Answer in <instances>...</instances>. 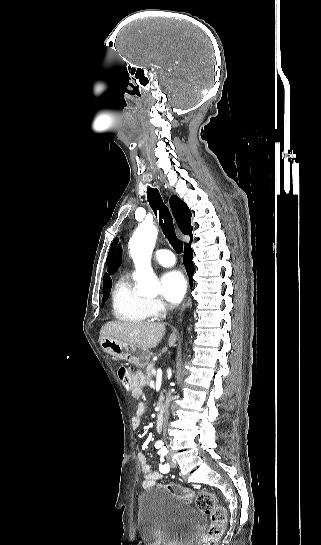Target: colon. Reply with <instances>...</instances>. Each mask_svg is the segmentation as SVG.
Masks as SVG:
<instances>
[{
	"mask_svg": "<svg viewBox=\"0 0 321 545\" xmlns=\"http://www.w3.org/2000/svg\"><path fill=\"white\" fill-rule=\"evenodd\" d=\"M117 373L124 387L131 389L133 381L129 369L120 366ZM165 489L183 500L191 501L194 499L197 508L207 514L211 521L207 533L200 541V545H217L225 529L227 513L226 509L219 505L216 495L211 492H200L194 495L189 489L176 484H169L165 486Z\"/></svg>",
	"mask_w": 321,
	"mask_h": 545,
	"instance_id": "5ec220e1",
	"label": "colon"
}]
</instances>
